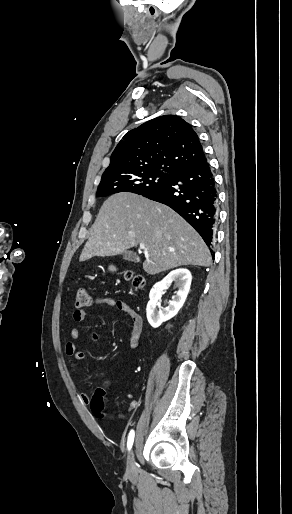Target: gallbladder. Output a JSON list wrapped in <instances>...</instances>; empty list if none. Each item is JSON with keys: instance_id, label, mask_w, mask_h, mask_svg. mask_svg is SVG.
<instances>
[{"instance_id": "obj_1", "label": "gallbladder", "mask_w": 292, "mask_h": 514, "mask_svg": "<svg viewBox=\"0 0 292 514\" xmlns=\"http://www.w3.org/2000/svg\"><path fill=\"white\" fill-rule=\"evenodd\" d=\"M131 260H133V262H137L138 256H136V254H133Z\"/></svg>"}]
</instances>
